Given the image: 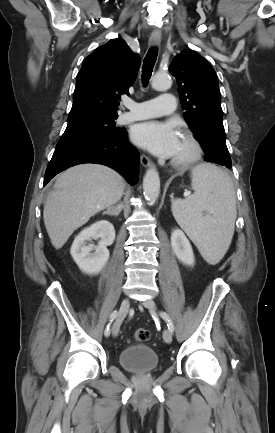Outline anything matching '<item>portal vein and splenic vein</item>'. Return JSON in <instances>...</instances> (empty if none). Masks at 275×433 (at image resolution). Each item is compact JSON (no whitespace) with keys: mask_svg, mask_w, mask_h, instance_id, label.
<instances>
[{"mask_svg":"<svg viewBox=\"0 0 275 433\" xmlns=\"http://www.w3.org/2000/svg\"><path fill=\"white\" fill-rule=\"evenodd\" d=\"M184 195H185V196H189V195H190V191H186V192L184 193Z\"/></svg>","mask_w":275,"mask_h":433,"instance_id":"obj_1","label":"portal vein and splenic vein"}]
</instances>
